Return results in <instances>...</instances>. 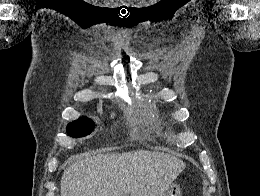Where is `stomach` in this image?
Segmentation results:
<instances>
[{
	"instance_id": "0dacf381",
	"label": "stomach",
	"mask_w": 260,
	"mask_h": 196,
	"mask_svg": "<svg viewBox=\"0 0 260 196\" xmlns=\"http://www.w3.org/2000/svg\"><path fill=\"white\" fill-rule=\"evenodd\" d=\"M163 196H183V187H168L167 193Z\"/></svg>"
}]
</instances>
